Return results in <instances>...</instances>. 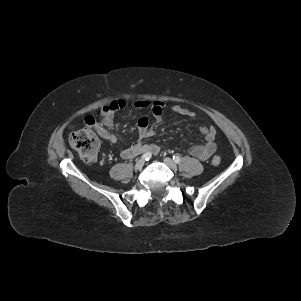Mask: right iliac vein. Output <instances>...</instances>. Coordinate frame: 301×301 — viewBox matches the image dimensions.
Segmentation results:
<instances>
[{"label":"right iliac vein","mask_w":301,"mask_h":301,"mask_svg":"<svg viewBox=\"0 0 301 301\" xmlns=\"http://www.w3.org/2000/svg\"><path fill=\"white\" fill-rule=\"evenodd\" d=\"M145 164V160L144 159H140L136 162L135 166H134V169L135 170H140L142 169V167L144 166Z\"/></svg>","instance_id":"1"}]
</instances>
